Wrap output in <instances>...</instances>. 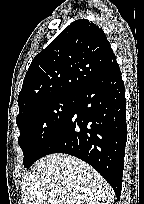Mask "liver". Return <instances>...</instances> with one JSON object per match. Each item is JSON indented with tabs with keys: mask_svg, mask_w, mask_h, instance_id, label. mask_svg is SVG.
<instances>
[{
	"mask_svg": "<svg viewBox=\"0 0 144 204\" xmlns=\"http://www.w3.org/2000/svg\"><path fill=\"white\" fill-rule=\"evenodd\" d=\"M21 185L24 204H113L115 196L93 167L64 153L38 160Z\"/></svg>",
	"mask_w": 144,
	"mask_h": 204,
	"instance_id": "6515ba94",
	"label": "liver"
}]
</instances>
